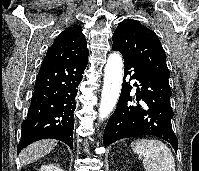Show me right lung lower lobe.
Listing matches in <instances>:
<instances>
[{
  "instance_id": "obj_1",
  "label": "right lung lower lobe",
  "mask_w": 199,
  "mask_h": 171,
  "mask_svg": "<svg viewBox=\"0 0 199 171\" xmlns=\"http://www.w3.org/2000/svg\"><path fill=\"white\" fill-rule=\"evenodd\" d=\"M88 57L78 61L42 63L34 87L27 119L22 123L17 153L46 138L73 148L76 95Z\"/></svg>"
}]
</instances>
